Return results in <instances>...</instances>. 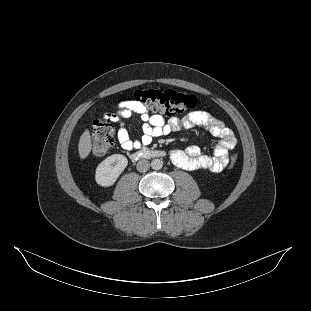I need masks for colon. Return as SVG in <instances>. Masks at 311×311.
I'll list each match as a JSON object with an SVG mask.
<instances>
[{"label":"colon","instance_id":"colon-1","mask_svg":"<svg viewBox=\"0 0 311 311\" xmlns=\"http://www.w3.org/2000/svg\"><path fill=\"white\" fill-rule=\"evenodd\" d=\"M135 100L152 112L177 115L184 113L197 104L194 95L177 92L174 90H137L133 94ZM93 146L92 151L95 156L105 155L113 145L114 129L106 121L95 120L93 122ZM237 155L230 157L229 167L233 168L237 163Z\"/></svg>","mask_w":311,"mask_h":311}]
</instances>
